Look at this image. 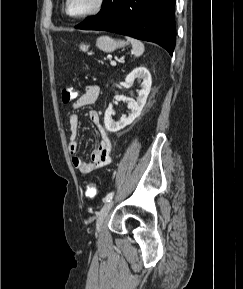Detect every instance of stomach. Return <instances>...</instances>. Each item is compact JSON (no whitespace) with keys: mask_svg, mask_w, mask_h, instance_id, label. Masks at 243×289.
<instances>
[{"mask_svg":"<svg viewBox=\"0 0 243 289\" xmlns=\"http://www.w3.org/2000/svg\"><path fill=\"white\" fill-rule=\"evenodd\" d=\"M124 45H125V42L117 41V40H115L109 36H100V37H98V39L96 41V46L105 52H112L117 48L123 47ZM80 49L83 51H87L88 45L81 43Z\"/></svg>","mask_w":243,"mask_h":289,"instance_id":"stomach-1","label":"stomach"}]
</instances>
